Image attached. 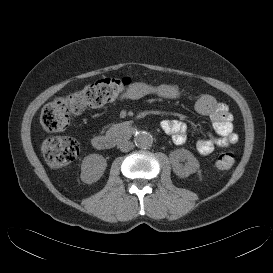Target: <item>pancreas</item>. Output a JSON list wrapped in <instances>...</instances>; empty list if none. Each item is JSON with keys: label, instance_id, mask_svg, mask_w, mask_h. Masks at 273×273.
I'll use <instances>...</instances> for the list:
<instances>
[{"label": "pancreas", "instance_id": "cf45deb5", "mask_svg": "<svg viewBox=\"0 0 273 273\" xmlns=\"http://www.w3.org/2000/svg\"><path fill=\"white\" fill-rule=\"evenodd\" d=\"M113 130V127L110 129V131H112Z\"/></svg>", "mask_w": 273, "mask_h": 273}]
</instances>
